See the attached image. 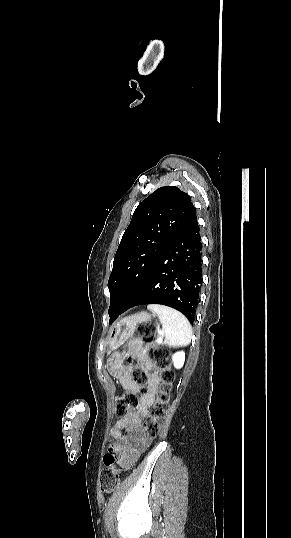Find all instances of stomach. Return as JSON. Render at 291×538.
<instances>
[{"instance_id":"1","label":"stomach","mask_w":291,"mask_h":538,"mask_svg":"<svg viewBox=\"0 0 291 538\" xmlns=\"http://www.w3.org/2000/svg\"><path fill=\"white\" fill-rule=\"evenodd\" d=\"M151 320V315L146 312L134 314L120 320L110 330L109 336V349L111 351L119 348L129 338H131L135 332L136 326L141 322H148Z\"/></svg>"}]
</instances>
